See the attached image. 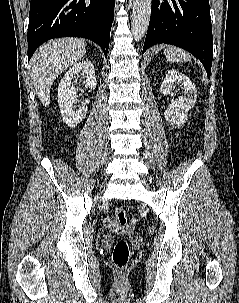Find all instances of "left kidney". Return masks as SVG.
<instances>
[{"mask_svg":"<svg viewBox=\"0 0 239 303\" xmlns=\"http://www.w3.org/2000/svg\"><path fill=\"white\" fill-rule=\"evenodd\" d=\"M176 84L183 86L184 95L174 99L175 92H173V90ZM160 90L162 94L172 97L171 104L164 112L165 119L173 125L181 126L187 120L188 111L193 108L196 103L197 92L195 85L188 77L178 71L170 70L167 72Z\"/></svg>","mask_w":239,"mask_h":303,"instance_id":"obj_1","label":"left kidney"}]
</instances>
